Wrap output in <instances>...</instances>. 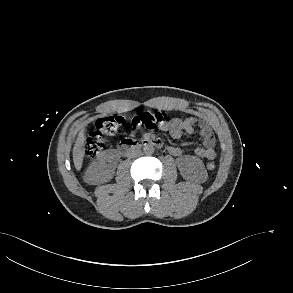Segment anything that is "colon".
<instances>
[{"mask_svg": "<svg viewBox=\"0 0 293 293\" xmlns=\"http://www.w3.org/2000/svg\"><path fill=\"white\" fill-rule=\"evenodd\" d=\"M167 118L168 114L163 111H144L134 115L131 122L141 130H152L164 124ZM122 123L123 118L119 115H110L98 119L95 128L86 139V156L89 158L97 156L104 146L103 136L116 133ZM206 168L212 171L215 168V164L210 162Z\"/></svg>", "mask_w": 293, "mask_h": 293, "instance_id": "5ec220e1", "label": "colon"}]
</instances>
